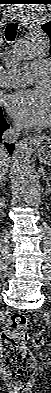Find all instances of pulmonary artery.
I'll return each mask as SVG.
<instances>
[{
  "instance_id": "e3ab8cb5",
  "label": "pulmonary artery",
  "mask_w": 51,
  "mask_h": 393,
  "mask_svg": "<svg viewBox=\"0 0 51 393\" xmlns=\"http://www.w3.org/2000/svg\"><path fill=\"white\" fill-rule=\"evenodd\" d=\"M35 73L11 74L5 79V84L9 87H18L31 83L35 76H41L49 72L50 63L48 60H38L34 62Z\"/></svg>"
}]
</instances>
